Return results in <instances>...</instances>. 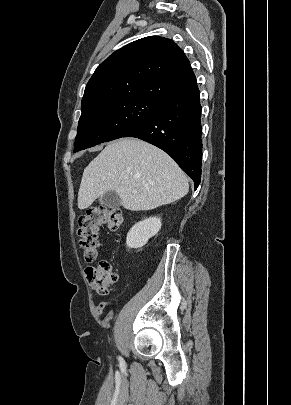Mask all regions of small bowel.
Segmentation results:
<instances>
[{
  "label": "small bowel",
  "mask_w": 291,
  "mask_h": 405,
  "mask_svg": "<svg viewBox=\"0 0 291 405\" xmlns=\"http://www.w3.org/2000/svg\"><path fill=\"white\" fill-rule=\"evenodd\" d=\"M106 306H107L106 303L99 304L98 307H97V314L101 315Z\"/></svg>",
  "instance_id": "obj_1"
}]
</instances>
